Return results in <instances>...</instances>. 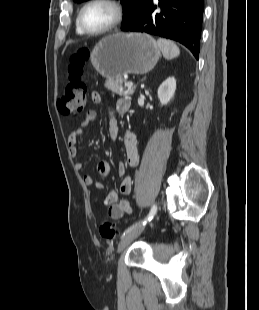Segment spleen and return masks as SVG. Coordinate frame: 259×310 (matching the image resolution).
I'll return each instance as SVG.
<instances>
[{
  "label": "spleen",
  "mask_w": 259,
  "mask_h": 310,
  "mask_svg": "<svg viewBox=\"0 0 259 310\" xmlns=\"http://www.w3.org/2000/svg\"><path fill=\"white\" fill-rule=\"evenodd\" d=\"M157 44L161 49L164 58L167 60L176 58L180 54L178 46L170 40L160 38L157 40Z\"/></svg>",
  "instance_id": "spleen-1"
}]
</instances>
